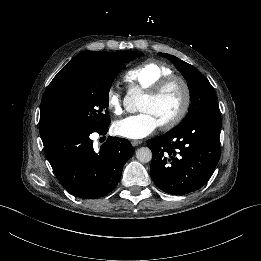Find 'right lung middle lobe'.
<instances>
[{"instance_id":"dd1d6c3e","label":"right lung middle lobe","mask_w":261,"mask_h":261,"mask_svg":"<svg viewBox=\"0 0 261 261\" xmlns=\"http://www.w3.org/2000/svg\"><path fill=\"white\" fill-rule=\"evenodd\" d=\"M142 55L141 52H127L120 63L84 65L70 74L63 86L71 116L70 132L92 133L109 125L110 86L125 67L123 63ZM40 135L44 148L57 139L46 132Z\"/></svg>"}]
</instances>
